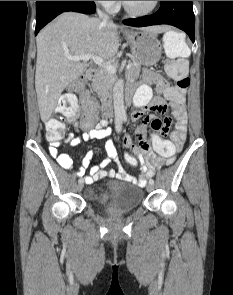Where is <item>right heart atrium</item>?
Returning a JSON list of instances; mask_svg holds the SVG:
<instances>
[{
    "instance_id": "d8ad5b80",
    "label": "right heart atrium",
    "mask_w": 233,
    "mask_h": 295,
    "mask_svg": "<svg viewBox=\"0 0 233 295\" xmlns=\"http://www.w3.org/2000/svg\"><path fill=\"white\" fill-rule=\"evenodd\" d=\"M95 2L108 11H114L118 7V1H95Z\"/></svg>"
}]
</instances>
